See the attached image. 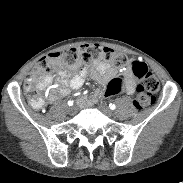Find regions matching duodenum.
<instances>
[{"instance_id": "duodenum-1", "label": "duodenum", "mask_w": 183, "mask_h": 183, "mask_svg": "<svg viewBox=\"0 0 183 183\" xmlns=\"http://www.w3.org/2000/svg\"><path fill=\"white\" fill-rule=\"evenodd\" d=\"M100 97V91L99 90H94L93 91V97L90 98V100L86 99H81L80 100V105L81 106H88V107H93L94 104L98 103V98Z\"/></svg>"}]
</instances>
